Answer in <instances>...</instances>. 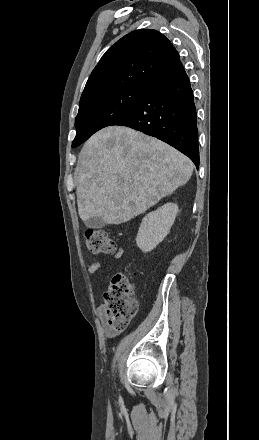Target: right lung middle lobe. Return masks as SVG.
Masks as SVG:
<instances>
[{"mask_svg":"<svg viewBox=\"0 0 259 440\" xmlns=\"http://www.w3.org/2000/svg\"><path fill=\"white\" fill-rule=\"evenodd\" d=\"M146 87H131L112 91L79 106L75 119L76 137L72 142L75 148L98 130L110 126L127 114L143 97Z\"/></svg>","mask_w":259,"mask_h":440,"instance_id":"obj_1","label":"right lung middle lobe"}]
</instances>
